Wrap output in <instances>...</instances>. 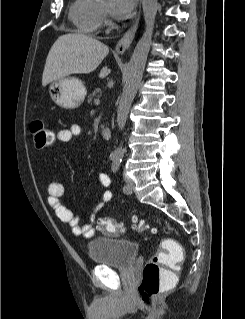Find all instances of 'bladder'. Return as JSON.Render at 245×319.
<instances>
[{
  "label": "bladder",
  "instance_id": "bladder-1",
  "mask_svg": "<svg viewBox=\"0 0 245 319\" xmlns=\"http://www.w3.org/2000/svg\"><path fill=\"white\" fill-rule=\"evenodd\" d=\"M138 249L136 242L116 238H94L88 243V253L93 263L117 268L132 266Z\"/></svg>",
  "mask_w": 245,
  "mask_h": 319
}]
</instances>
